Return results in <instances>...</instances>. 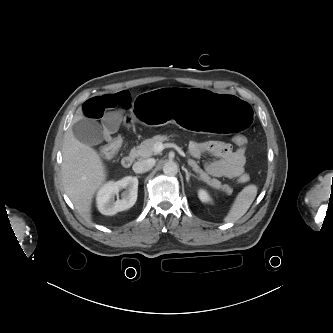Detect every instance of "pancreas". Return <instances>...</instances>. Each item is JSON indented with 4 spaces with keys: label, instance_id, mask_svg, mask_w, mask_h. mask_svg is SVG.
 <instances>
[{
    "label": "pancreas",
    "instance_id": "1",
    "mask_svg": "<svg viewBox=\"0 0 333 333\" xmlns=\"http://www.w3.org/2000/svg\"><path fill=\"white\" fill-rule=\"evenodd\" d=\"M168 137L165 135H156L150 139H146L143 141L139 146L136 147V149L132 150V153L137 157L147 158L154 154H157V152L154 149V145L158 142H164L168 141ZM189 166L192 167V169L195 171V173L198 174L199 179L206 182L208 185H210L213 188H216L218 190L224 191L226 194L230 195L233 191V189L227 185H222L221 182L215 178L211 179V177L203 171L195 160L188 159Z\"/></svg>",
    "mask_w": 333,
    "mask_h": 333
}]
</instances>
